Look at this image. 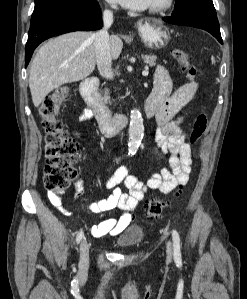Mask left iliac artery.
Segmentation results:
<instances>
[{
    "label": "left iliac artery",
    "instance_id": "obj_1",
    "mask_svg": "<svg viewBox=\"0 0 247 299\" xmlns=\"http://www.w3.org/2000/svg\"><path fill=\"white\" fill-rule=\"evenodd\" d=\"M173 237V248H174V258L178 265H181V249H180V236L176 230L172 232Z\"/></svg>",
    "mask_w": 247,
    "mask_h": 299
}]
</instances>
